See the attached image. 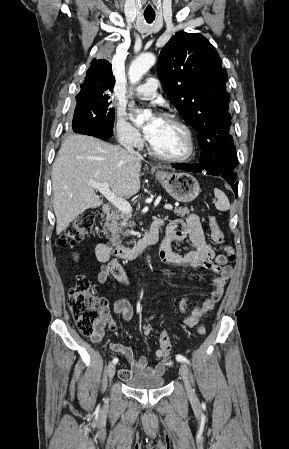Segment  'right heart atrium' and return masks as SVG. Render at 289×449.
<instances>
[{"label":"right heart atrium","mask_w":289,"mask_h":449,"mask_svg":"<svg viewBox=\"0 0 289 449\" xmlns=\"http://www.w3.org/2000/svg\"><path fill=\"white\" fill-rule=\"evenodd\" d=\"M116 134L119 143L125 147L137 148L142 144L139 131L128 122L122 112L117 115Z\"/></svg>","instance_id":"1"}]
</instances>
